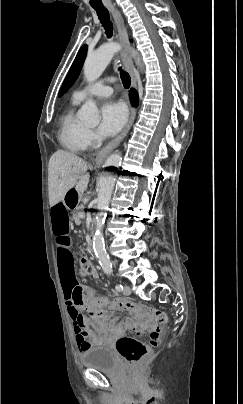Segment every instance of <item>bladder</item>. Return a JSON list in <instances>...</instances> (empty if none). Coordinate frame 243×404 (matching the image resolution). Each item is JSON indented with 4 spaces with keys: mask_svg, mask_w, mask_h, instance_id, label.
<instances>
[{
    "mask_svg": "<svg viewBox=\"0 0 243 404\" xmlns=\"http://www.w3.org/2000/svg\"><path fill=\"white\" fill-rule=\"evenodd\" d=\"M81 364L89 369L103 373L115 374L120 370V364L114 351L105 346H92L80 353Z\"/></svg>",
    "mask_w": 243,
    "mask_h": 404,
    "instance_id": "31cf9c89",
    "label": "bladder"
}]
</instances>
